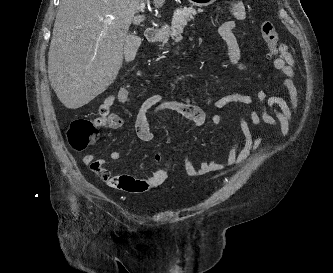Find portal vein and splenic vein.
<instances>
[{"instance_id":"obj_1","label":"portal vein and splenic vein","mask_w":333,"mask_h":273,"mask_svg":"<svg viewBox=\"0 0 333 273\" xmlns=\"http://www.w3.org/2000/svg\"><path fill=\"white\" fill-rule=\"evenodd\" d=\"M145 8V3H140L138 6H137V11H143Z\"/></svg>"}]
</instances>
